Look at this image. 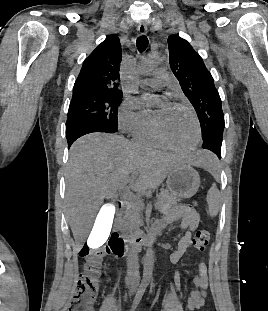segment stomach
<instances>
[{"label": "stomach", "mask_w": 268, "mask_h": 311, "mask_svg": "<svg viewBox=\"0 0 268 311\" xmlns=\"http://www.w3.org/2000/svg\"><path fill=\"white\" fill-rule=\"evenodd\" d=\"M166 183L173 196L187 199L198 191L200 177L192 165L183 163L169 172Z\"/></svg>", "instance_id": "obj_1"}]
</instances>
